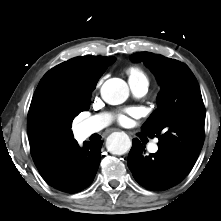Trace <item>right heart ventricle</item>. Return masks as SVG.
<instances>
[{
    "label": "right heart ventricle",
    "mask_w": 221,
    "mask_h": 221,
    "mask_svg": "<svg viewBox=\"0 0 221 221\" xmlns=\"http://www.w3.org/2000/svg\"><path fill=\"white\" fill-rule=\"evenodd\" d=\"M127 74L129 76V80H139V79H147L146 74L144 71L137 67V66H131L127 69Z\"/></svg>",
    "instance_id": "obj_1"
}]
</instances>
